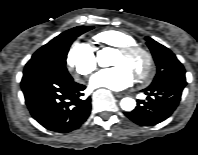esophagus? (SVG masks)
Here are the masks:
<instances>
[{
	"mask_svg": "<svg viewBox=\"0 0 198 155\" xmlns=\"http://www.w3.org/2000/svg\"><path fill=\"white\" fill-rule=\"evenodd\" d=\"M115 96L118 98H122L125 96V94L124 93H115Z\"/></svg>",
	"mask_w": 198,
	"mask_h": 155,
	"instance_id": "34e87169",
	"label": "esophagus"
}]
</instances>
